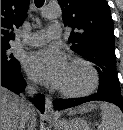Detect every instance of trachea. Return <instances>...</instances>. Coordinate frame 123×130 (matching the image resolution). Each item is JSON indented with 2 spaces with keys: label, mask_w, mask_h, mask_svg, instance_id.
<instances>
[{
  "label": "trachea",
  "mask_w": 123,
  "mask_h": 130,
  "mask_svg": "<svg viewBox=\"0 0 123 130\" xmlns=\"http://www.w3.org/2000/svg\"><path fill=\"white\" fill-rule=\"evenodd\" d=\"M34 2H35V5H36L38 8H40V7L43 6L45 0H34Z\"/></svg>",
  "instance_id": "trachea-1"
}]
</instances>
